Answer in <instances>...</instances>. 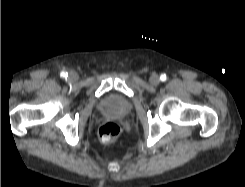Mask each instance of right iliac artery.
<instances>
[{"label": "right iliac artery", "mask_w": 245, "mask_h": 187, "mask_svg": "<svg viewBox=\"0 0 245 187\" xmlns=\"http://www.w3.org/2000/svg\"><path fill=\"white\" fill-rule=\"evenodd\" d=\"M60 76L63 77V78H65V77L68 76V73L65 72V71H62V72L60 73Z\"/></svg>", "instance_id": "obj_1"}]
</instances>
